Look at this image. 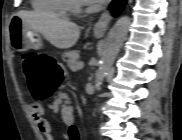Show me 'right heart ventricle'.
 Wrapping results in <instances>:
<instances>
[{"label": "right heart ventricle", "mask_w": 182, "mask_h": 140, "mask_svg": "<svg viewBox=\"0 0 182 140\" xmlns=\"http://www.w3.org/2000/svg\"><path fill=\"white\" fill-rule=\"evenodd\" d=\"M66 0H32V8L38 12L63 16L66 14Z\"/></svg>", "instance_id": "right-heart-ventricle-1"}]
</instances>
